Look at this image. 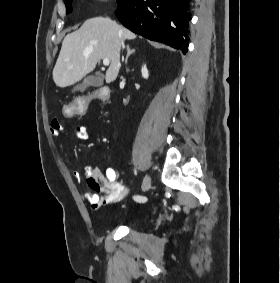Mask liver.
Masks as SVG:
<instances>
[{"instance_id": "obj_1", "label": "liver", "mask_w": 280, "mask_h": 283, "mask_svg": "<svg viewBox=\"0 0 280 283\" xmlns=\"http://www.w3.org/2000/svg\"><path fill=\"white\" fill-rule=\"evenodd\" d=\"M136 35L107 17L86 20L77 31L64 38L53 69V80L64 88L80 81L96 67L101 59H109L106 83L113 82L119 73L121 42Z\"/></svg>"}]
</instances>
